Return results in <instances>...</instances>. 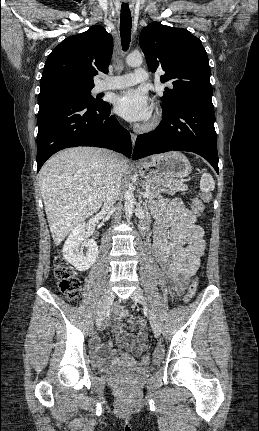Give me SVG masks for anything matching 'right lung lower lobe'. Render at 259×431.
Listing matches in <instances>:
<instances>
[{"instance_id": "1", "label": "right lung lower lobe", "mask_w": 259, "mask_h": 431, "mask_svg": "<svg viewBox=\"0 0 259 431\" xmlns=\"http://www.w3.org/2000/svg\"><path fill=\"white\" fill-rule=\"evenodd\" d=\"M37 171L57 151L76 146L115 150L130 157V133L110 116L107 102L89 103L61 99L39 106Z\"/></svg>"}]
</instances>
